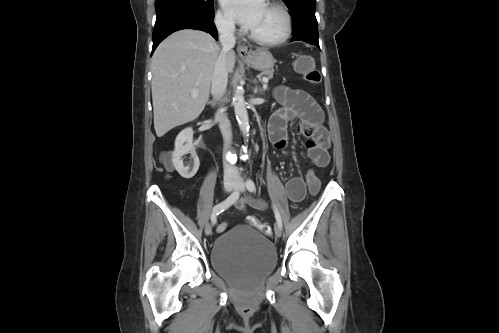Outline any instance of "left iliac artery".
I'll list each match as a JSON object with an SVG mask.
<instances>
[{
  "label": "left iliac artery",
  "instance_id": "44dca946",
  "mask_svg": "<svg viewBox=\"0 0 499 333\" xmlns=\"http://www.w3.org/2000/svg\"><path fill=\"white\" fill-rule=\"evenodd\" d=\"M246 187H247V189L250 192H255V190H256L255 183H254V181L252 179H247L246 180ZM273 211H274V214H275V218H276L277 224L282 229L283 224H282L281 216H280V213H279V211H278V209H277V207L275 205H273Z\"/></svg>",
  "mask_w": 499,
  "mask_h": 333
}]
</instances>
